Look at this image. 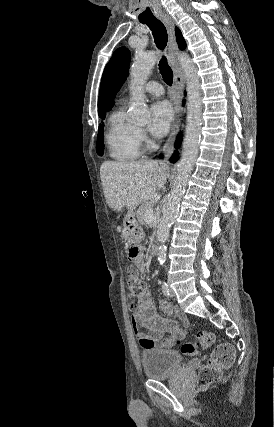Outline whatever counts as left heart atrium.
Returning a JSON list of instances; mask_svg holds the SVG:
<instances>
[{
	"label": "left heart atrium",
	"instance_id": "left-heart-atrium-1",
	"mask_svg": "<svg viewBox=\"0 0 274 427\" xmlns=\"http://www.w3.org/2000/svg\"><path fill=\"white\" fill-rule=\"evenodd\" d=\"M173 110L167 101H158L151 107L149 131L155 137H162L169 131Z\"/></svg>",
	"mask_w": 274,
	"mask_h": 427
}]
</instances>
